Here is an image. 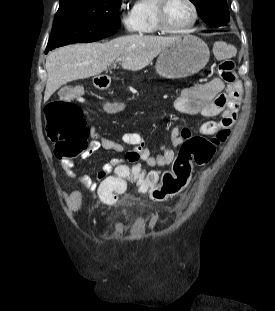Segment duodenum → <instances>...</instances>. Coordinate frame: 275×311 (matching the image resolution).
Returning <instances> with one entry per match:
<instances>
[{"mask_svg":"<svg viewBox=\"0 0 275 311\" xmlns=\"http://www.w3.org/2000/svg\"><path fill=\"white\" fill-rule=\"evenodd\" d=\"M109 82H110L109 77H101L100 74H95L94 77L92 78V83L95 84V87L101 91L106 89Z\"/></svg>","mask_w":275,"mask_h":311,"instance_id":"1","label":"duodenum"}]
</instances>
